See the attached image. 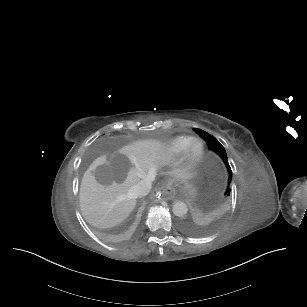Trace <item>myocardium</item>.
<instances>
[{
  "label": "myocardium",
  "instance_id": "obj_1",
  "mask_svg": "<svg viewBox=\"0 0 307 307\" xmlns=\"http://www.w3.org/2000/svg\"><path fill=\"white\" fill-rule=\"evenodd\" d=\"M195 144H200L202 149L198 155L193 156L192 148ZM205 155H206V146L204 142L199 139H192L190 143L187 145L183 155L181 156V160L177 165V169L175 171L176 175L180 176L181 174L199 166L202 163Z\"/></svg>",
  "mask_w": 307,
  "mask_h": 307
}]
</instances>
